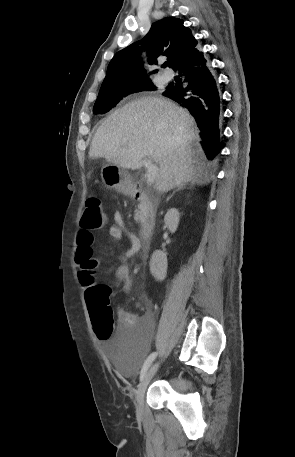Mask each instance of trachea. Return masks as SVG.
Segmentation results:
<instances>
[{"instance_id":"trachea-1","label":"trachea","mask_w":295,"mask_h":457,"mask_svg":"<svg viewBox=\"0 0 295 457\" xmlns=\"http://www.w3.org/2000/svg\"><path fill=\"white\" fill-rule=\"evenodd\" d=\"M167 65H168V63H167V62H165V63H164V65H163V67H167Z\"/></svg>"}]
</instances>
